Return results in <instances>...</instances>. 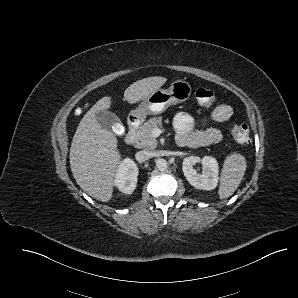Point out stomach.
<instances>
[{"label": "stomach", "instance_id": "obj_1", "mask_svg": "<svg viewBox=\"0 0 298 298\" xmlns=\"http://www.w3.org/2000/svg\"><path fill=\"white\" fill-rule=\"evenodd\" d=\"M192 94L191 85L184 80H176L167 89L159 88L147 96L139 107L132 111L136 118L144 120L147 115H159L171 105L187 101Z\"/></svg>", "mask_w": 298, "mask_h": 298}]
</instances>
